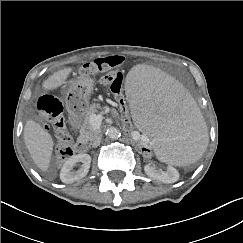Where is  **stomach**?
<instances>
[{"label":"stomach","mask_w":243,"mask_h":243,"mask_svg":"<svg viewBox=\"0 0 243 243\" xmlns=\"http://www.w3.org/2000/svg\"><path fill=\"white\" fill-rule=\"evenodd\" d=\"M93 87L94 80L92 78L81 77L74 80L66 90L64 100L71 118L84 116Z\"/></svg>","instance_id":"obj_1"}]
</instances>
